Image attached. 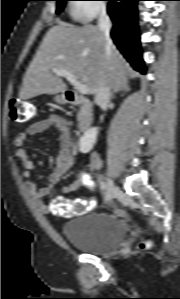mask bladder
<instances>
[{"label": "bladder", "mask_w": 180, "mask_h": 299, "mask_svg": "<svg viewBox=\"0 0 180 299\" xmlns=\"http://www.w3.org/2000/svg\"><path fill=\"white\" fill-rule=\"evenodd\" d=\"M62 232L73 247L88 254L107 255L121 248L127 229L119 217L100 212L82 214L67 221Z\"/></svg>", "instance_id": "1"}]
</instances>
